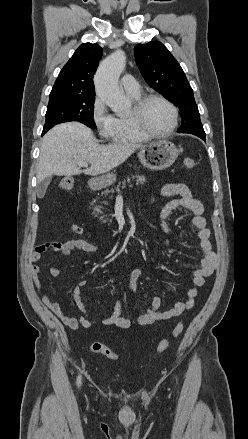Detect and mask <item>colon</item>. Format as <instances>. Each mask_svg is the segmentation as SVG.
Here are the masks:
<instances>
[{
	"label": "colon",
	"mask_w": 248,
	"mask_h": 439,
	"mask_svg": "<svg viewBox=\"0 0 248 439\" xmlns=\"http://www.w3.org/2000/svg\"><path fill=\"white\" fill-rule=\"evenodd\" d=\"M183 165H184V168L187 172L194 171L197 167L196 161L192 158H185L183 160ZM73 186H74V181L70 177L63 178L59 182V188L63 191H70V190H72ZM73 229L77 233L81 232V229L77 226H74ZM183 331H184V324L182 322H180L175 326V328L173 329L171 334L168 337H166L165 339H163L158 344V346L156 348V353L161 354V353L165 352L170 347L172 342L176 338H178L182 334ZM90 348L93 352L100 353L108 359H111V360H118L119 359L118 354L103 343L93 342L91 344Z\"/></svg>",
	"instance_id": "5ec220e1"
}]
</instances>
